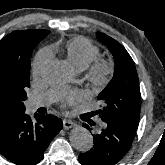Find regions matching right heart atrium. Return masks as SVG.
<instances>
[{
	"label": "right heart atrium",
	"instance_id": "d8ad5b80",
	"mask_svg": "<svg viewBox=\"0 0 165 165\" xmlns=\"http://www.w3.org/2000/svg\"><path fill=\"white\" fill-rule=\"evenodd\" d=\"M50 52L47 49H41L35 56L32 63L33 75H38L43 66L49 61Z\"/></svg>",
	"mask_w": 165,
	"mask_h": 165
}]
</instances>
